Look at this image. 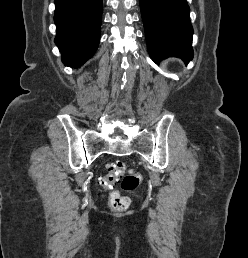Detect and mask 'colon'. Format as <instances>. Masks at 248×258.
<instances>
[{"instance_id": "colon-1", "label": "colon", "mask_w": 248, "mask_h": 258, "mask_svg": "<svg viewBox=\"0 0 248 258\" xmlns=\"http://www.w3.org/2000/svg\"><path fill=\"white\" fill-rule=\"evenodd\" d=\"M119 180L122 189L133 191L140 185L142 176L139 172L128 169L124 162L117 161L109 165L108 172L100 179V185L105 189H112ZM108 204L112 210L125 211L130 205V200L127 196L112 191Z\"/></svg>"}]
</instances>
